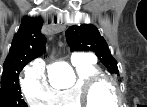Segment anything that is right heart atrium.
<instances>
[{
  "label": "right heart atrium",
  "mask_w": 147,
  "mask_h": 107,
  "mask_svg": "<svg viewBox=\"0 0 147 107\" xmlns=\"http://www.w3.org/2000/svg\"><path fill=\"white\" fill-rule=\"evenodd\" d=\"M21 90L31 106L51 104L55 90L50 86L45 68L40 62H33L21 79Z\"/></svg>",
  "instance_id": "d8ad5b80"
}]
</instances>
